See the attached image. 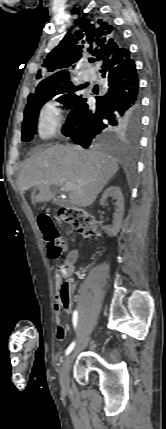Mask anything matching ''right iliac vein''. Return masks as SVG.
Segmentation results:
<instances>
[{"instance_id":"obj_1","label":"right iliac vein","mask_w":166,"mask_h":429,"mask_svg":"<svg viewBox=\"0 0 166 429\" xmlns=\"http://www.w3.org/2000/svg\"><path fill=\"white\" fill-rule=\"evenodd\" d=\"M74 353H70L63 362L60 372V384L63 389H67L69 385V370L73 360Z\"/></svg>"}]
</instances>
